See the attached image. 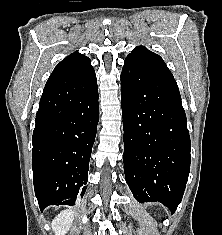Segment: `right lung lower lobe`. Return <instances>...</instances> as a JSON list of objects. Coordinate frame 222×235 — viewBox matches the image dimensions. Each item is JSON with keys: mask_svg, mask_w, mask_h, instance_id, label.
<instances>
[{"mask_svg": "<svg viewBox=\"0 0 222 235\" xmlns=\"http://www.w3.org/2000/svg\"><path fill=\"white\" fill-rule=\"evenodd\" d=\"M99 121L94 69L65 80L48 79L33 132L32 169L41 211L83 197Z\"/></svg>", "mask_w": 222, "mask_h": 235, "instance_id": "98d812e1", "label": "right lung lower lobe"}]
</instances>
